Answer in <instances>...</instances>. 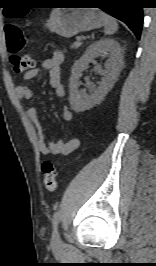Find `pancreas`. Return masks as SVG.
I'll list each match as a JSON object with an SVG mask.
<instances>
[{"label":"pancreas","mask_w":156,"mask_h":266,"mask_svg":"<svg viewBox=\"0 0 156 266\" xmlns=\"http://www.w3.org/2000/svg\"><path fill=\"white\" fill-rule=\"evenodd\" d=\"M80 46H81L80 41H77V42H75L71 47H72V48H78V47H80Z\"/></svg>","instance_id":"obj_1"}]
</instances>
